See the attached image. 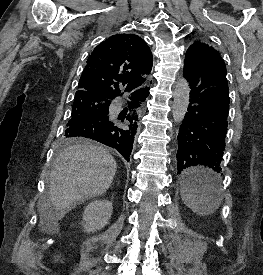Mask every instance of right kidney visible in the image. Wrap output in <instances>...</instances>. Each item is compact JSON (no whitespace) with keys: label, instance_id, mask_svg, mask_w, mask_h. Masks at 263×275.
<instances>
[{"label":"right kidney","instance_id":"ca27d5eb","mask_svg":"<svg viewBox=\"0 0 263 275\" xmlns=\"http://www.w3.org/2000/svg\"><path fill=\"white\" fill-rule=\"evenodd\" d=\"M112 203L108 200H94L85 208L83 214L84 232H96L103 229L112 215Z\"/></svg>","mask_w":263,"mask_h":275}]
</instances>
